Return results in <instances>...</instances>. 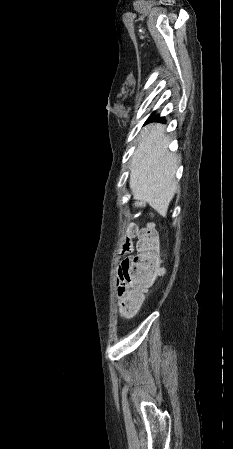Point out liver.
<instances>
[{"label": "liver", "mask_w": 233, "mask_h": 449, "mask_svg": "<svg viewBox=\"0 0 233 449\" xmlns=\"http://www.w3.org/2000/svg\"><path fill=\"white\" fill-rule=\"evenodd\" d=\"M164 130V125L155 124L141 133L131 161L129 182L134 198L149 203L161 215L167 214L179 189L175 180L179 158L168 151L169 137Z\"/></svg>", "instance_id": "6515ba94"}]
</instances>
